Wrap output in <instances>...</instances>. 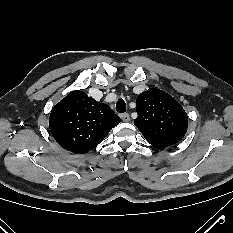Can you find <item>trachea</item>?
Wrapping results in <instances>:
<instances>
[{"label": "trachea", "mask_w": 233, "mask_h": 233, "mask_svg": "<svg viewBox=\"0 0 233 233\" xmlns=\"http://www.w3.org/2000/svg\"><path fill=\"white\" fill-rule=\"evenodd\" d=\"M116 110L119 113L126 112V103L122 98L118 99V101L116 103Z\"/></svg>", "instance_id": "trachea-1"}]
</instances>
